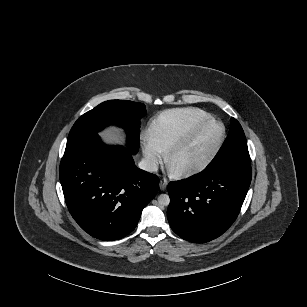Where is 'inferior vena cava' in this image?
<instances>
[{"mask_svg":"<svg viewBox=\"0 0 307 307\" xmlns=\"http://www.w3.org/2000/svg\"><path fill=\"white\" fill-rule=\"evenodd\" d=\"M138 167L142 170L148 172H156L158 171L157 160L153 157L143 158L139 163Z\"/></svg>","mask_w":307,"mask_h":307,"instance_id":"inferior-vena-cava-1","label":"inferior vena cava"}]
</instances>
